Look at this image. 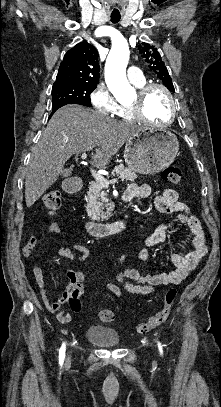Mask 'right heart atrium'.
I'll list each match as a JSON object with an SVG mask.
<instances>
[{
  "label": "right heart atrium",
  "instance_id": "1",
  "mask_svg": "<svg viewBox=\"0 0 221 407\" xmlns=\"http://www.w3.org/2000/svg\"><path fill=\"white\" fill-rule=\"evenodd\" d=\"M89 99L96 111L106 115L115 114L119 106L110 90L102 83L94 88Z\"/></svg>",
  "mask_w": 221,
  "mask_h": 407
}]
</instances>
